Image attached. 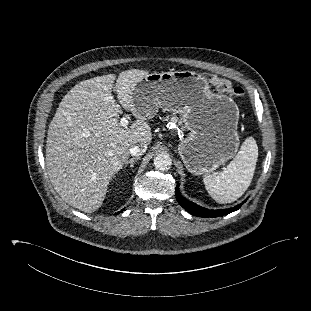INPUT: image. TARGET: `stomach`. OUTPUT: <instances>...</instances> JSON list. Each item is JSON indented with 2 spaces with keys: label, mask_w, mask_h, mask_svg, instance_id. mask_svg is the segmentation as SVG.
<instances>
[{
  "label": "stomach",
  "mask_w": 311,
  "mask_h": 311,
  "mask_svg": "<svg viewBox=\"0 0 311 311\" xmlns=\"http://www.w3.org/2000/svg\"><path fill=\"white\" fill-rule=\"evenodd\" d=\"M136 111L150 119L159 108L180 113L189 135L178 145L187 170L195 175L213 172L239 148V109L225 95L212 93L208 82L193 71L151 73L132 92Z\"/></svg>",
  "instance_id": "0dacf381"
}]
</instances>
